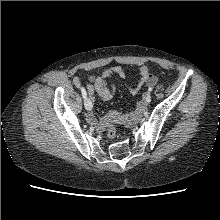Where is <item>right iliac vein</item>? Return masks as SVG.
Wrapping results in <instances>:
<instances>
[{
    "instance_id": "1",
    "label": "right iliac vein",
    "mask_w": 220,
    "mask_h": 220,
    "mask_svg": "<svg viewBox=\"0 0 220 220\" xmlns=\"http://www.w3.org/2000/svg\"><path fill=\"white\" fill-rule=\"evenodd\" d=\"M84 106H85V108H86L88 111H91V110H92L93 105H92V102H91V100H90L89 98H86V99L84 100Z\"/></svg>"
}]
</instances>
